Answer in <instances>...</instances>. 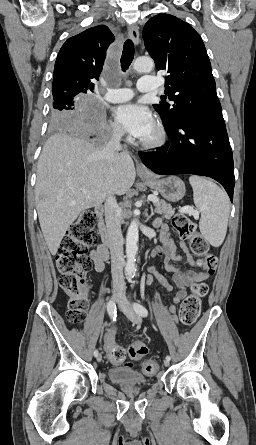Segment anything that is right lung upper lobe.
<instances>
[{
    "label": "right lung upper lobe",
    "instance_id": "obj_1",
    "mask_svg": "<svg viewBox=\"0 0 256 445\" xmlns=\"http://www.w3.org/2000/svg\"><path fill=\"white\" fill-rule=\"evenodd\" d=\"M115 37L105 25L89 28L69 38L57 56L52 94L66 91L93 92V80L99 78L108 46Z\"/></svg>",
    "mask_w": 256,
    "mask_h": 445
}]
</instances>
